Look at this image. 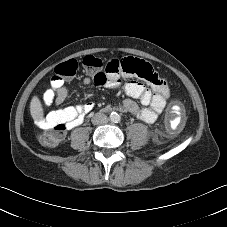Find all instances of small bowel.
I'll use <instances>...</instances> for the list:
<instances>
[{"label": "small bowel", "instance_id": "c3829d8e", "mask_svg": "<svg viewBox=\"0 0 227 227\" xmlns=\"http://www.w3.org/2000/svg\"><path fill=\"white\" fill-rule=\"evenodd\" d=\"M120 63L122 61L117 60ZM108 77L109 73L104 71ZM122 75H126L122 72ZM148 86L135 81H129L123 85L124 93L140 102L143 108L139 107L138 103L132 99H127L121 103L119 109L123 112L130 113L137 116L141 120L152 123L157 120L160 113L164 110L170 97L169 87L167 81L161 78L156 71H154L153 79H143ZM119 76L113 79L106 80L103 84L106 86H115L118 84ZM91 78L83 79L84 85H90ZM67 97V90L65 87H51L43 95V104L47 107L61 106ZM94 108L93 102H87L83 105L68 106L51 111L45 117L39 118L37 124L44 128H52L57 123L65 125L66 129H72L78 126L83 121V114L90 112ZM111 105H106L104 111H110Z\"/></svg>", "mask_w": 227, "mask_h": 227}]
</instances>
